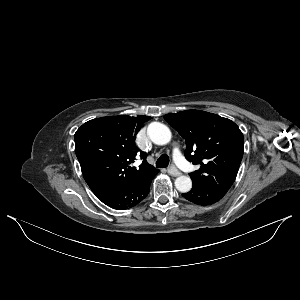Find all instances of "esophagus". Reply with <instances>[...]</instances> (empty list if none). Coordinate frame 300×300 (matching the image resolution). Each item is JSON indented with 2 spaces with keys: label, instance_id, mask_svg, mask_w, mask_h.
Masks as SVG:
<instances>
[{
  "label": "esophagus",
  "instance_id": "34e87169",
  "mask_svg": "<svg viewBox=\"0 0 300 300\" xmlns=\"http://www.w3.org/2000/svg\"><path fill=\"white\" fill-rule=\"evenodd\" d=\"M168 174L171 176H179L181 173L180 171L175 167V166H171L168 170H167Z\"/></svg>",
  "mask_w": 300,
  "mask_h": 300
}]
</instances>
